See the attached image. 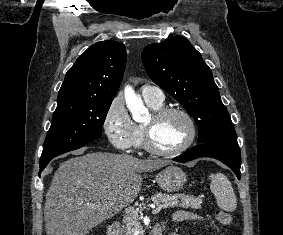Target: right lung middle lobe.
<instances>
[{"label": "right lung middle lobe", "instance_id": "1", "mask_svg": "<svg viewBox=\"0 0 283 235\" xmlns=\"http://www.w3.org/2000/svg\"><path fill=\"white\" fill-rule=\"evenodd\" d=\"M112 100L74 98L58 102L47 133L40 162L75 145L101 137Z\"/></svg>", "mask_w": 283, "mask_h": 235}]
</instances>
